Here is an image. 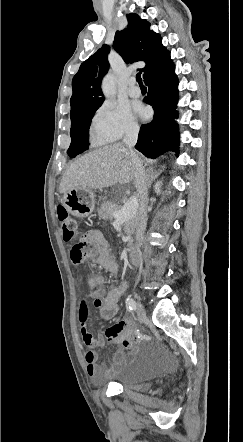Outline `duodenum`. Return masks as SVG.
I'll use <instances>...</instances> for the list:
<instances>
[{"label":"duodenum","instance_id":"duodenum-1","mask_svg":"<svg viewBox=\"0 0 243 442\" xmlns=\"http://www.w3.org/2000/svg\"><path fill=\"white\" fill-rule=\"evenodd\" d=\"M128 258L129 261L134 265L139 263V254L134 248H130L128 250Z\"/></svg>","mask_w":243,"mask_h":442}]
</instances>
